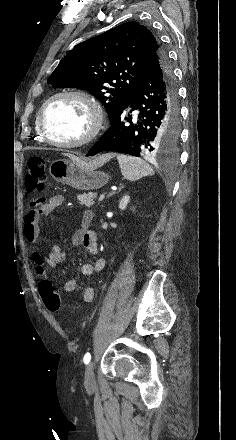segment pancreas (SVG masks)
<instances>
[{
	"label": "pancreas",
	"mask_w": 236,
	"mask_h": 440,
	"mask_svg": "<svg viewBox=\"0 0 236 440\" xmlns=\"http://www.w3.org/2000/svg\"><path fill=\"white\" fill-rule=\"evenodd\" d=\"M96 193H83L78 195L77 199L80 201L81 205H85L86 207H91L95 203Z\"/></svg>",
	"instance_id": "cf45deb5"
}]
</instances>
